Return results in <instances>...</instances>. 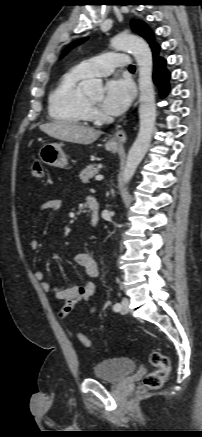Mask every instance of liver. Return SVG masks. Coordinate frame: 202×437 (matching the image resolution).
<instances>
[{"mask_svg":"<svg viewBox=\"0 0 202 437\" xmlns=\"http://www.w3.org/2000/svg\"><path fill=\"white\" fill-rule=\"evenodd\" d=\"M40 130L55 139L77 144H91L102 134L94 128L66 121H53L39 126Z\"/></svg>","mask_w":202,"mask_h":437,"instance_id":"liver-1","label":"liver"}]
</instances>
